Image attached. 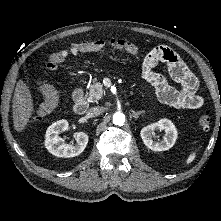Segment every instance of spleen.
Instances as JSON below:
<instances>
[{
	"mask_svg": "<svg viewBox=\"0 0 221 221\" xmlns=\"http://www.w3.org/2000/svg\"><path fill=\"white\" fill-rule=\"evenodd\" d=\"M195 158V153L190 154L189 157L187 158V164L191 163Z\"/></svg>",
	"mask_w": 221,
	"mask_h": 221,
	"instance_id": "1",
	"label": "spleen"
}]
</instances>
